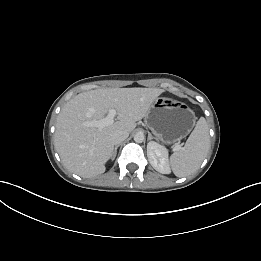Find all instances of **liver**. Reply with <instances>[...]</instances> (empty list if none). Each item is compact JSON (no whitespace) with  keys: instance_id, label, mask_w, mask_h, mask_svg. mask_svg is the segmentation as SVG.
<instances>
[{"instance_id":"1","label":"liver","mask_w":261,"mask_h":261,"mask_svg":"<svg viewBox=\"0 0 261 261\" xmlns=\"http://www.w3.org/2000/svg\"><path fill=\"white\" fill-rule=\"evenodd\" d=\"M163 92L158 88H105L76 95L64 105L56 122L55 148L64 166L84 178L104 173L114 151L111 135L133 131ZM110 109L117 111L118 121L103 128L84 125L103 119Z\"/></svg>"}]
</instances>
